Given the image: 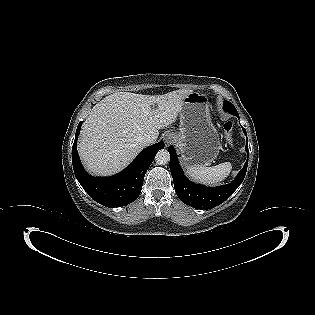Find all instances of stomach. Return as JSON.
Returning <instances> with one entry per match:
<instances>
[{"label":"stomach","instance_id":"1","mask_svg":"<svg viewBox=\"0 0 315 315\" xmlns=\"http://www.w3.org/2000/svg\"><path fill=\"white\" fill-rule=\"evenodd\" d=\"M209 107L208 98L202 93L192 92L183 99L175 145L185 167L209 165L219 154L221 143Z\"/></svg>","mask_w":315,"mask_h":315}]
</instances>
